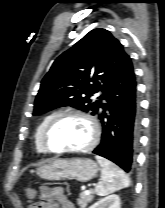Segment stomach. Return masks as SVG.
Instances as JSON below:
<instances>
[{
    "label": "stomach",
    "mask_w": 165,
    "mask_h": 208,
    "mask_svg": "<svg viewBox=\"0 0 165 208\" xmlns=\"http://www.w3.org/2000/svg\"><path fill=\"white\" fill-rule=\"evenodd\" d=\"M37 174L46 180L76 179L87 182L98 172V165L88 158L54 159L37 169Z\"/></svg>",
    "instance_id": "0dacf381"
}]
</instances>
